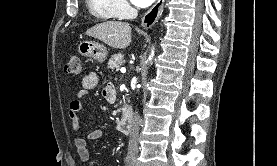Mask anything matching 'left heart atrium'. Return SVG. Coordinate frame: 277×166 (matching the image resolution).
Instances as JSON below:
<instances>
[{
	"label": "left heart atrium",
	"mask_w": 277,
	"mask_h": 166,
	"mask_svg": "<svg viewBox=\"0 0 277 166\" xmlns=\"http://www.w3.org/2000/svg\"><path fill=\"white\" fill-rule=\"evenodd\" d=\"M135 6L145 8L151 5L155 0H130Z\"/></svg>",
	"instance_id": "obj_1"
}]
</instances>
